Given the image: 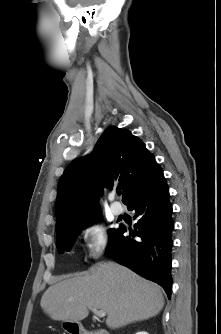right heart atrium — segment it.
I'll return each mask as SVG.
<instances>
[{
  "label": "right heart atrium",
  "instance_id": "1",
  "mask_svg": "<svg viewBox=\"0 0 221 334\" xmlns=\"http://www.w3.org/2000/svg\"><path fill=\"white\" fill-rule=\"evenodd\" d=\"M81 238L87 256L91 260L101 258L109 245V237L106 228L97 220H91L82 226Z\"/></svg>",
  "mask_w": 221,
  "mask_h": 334
}]
</instances>
